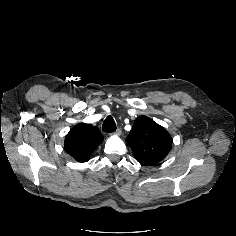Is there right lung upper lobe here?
<instances>
[{"label": "right lung upper lobe", "mask_w": 236, "mask_h": 236, "mask_svg": "<svg viewBox=\"0 0 236 236\" xmlns=\"http://www.w3.org/2000/svg\"><path fill=\"white\" fill-rule=\"evenodd\" d=\"M103 135L91 124L80 123L73 127L64 141V149L78 162L89 160L91 153L103 141Z\"/></svg>", "instance_id": "cb5924a9"}]
</instances>
